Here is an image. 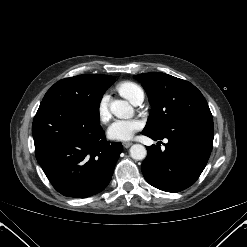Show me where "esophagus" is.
I'll use <instances>...</instances> for the list:
<instances>
[{
	"mask_svg": "<svg viewBox=\"0 0 247 247\" xmlns=\"http://www.w3.org/2000/svg\"><path fill=\"white\" fill-rule=\"evenodd\" d=\"M122 144L124 148H129L132 145L131 142H123Z\"/></svg>",
	"mask_w": 247,
	"mask_h": 247,
	"instance_id": "34e87169",
	"label": "esophagus"
}]
</instances>
